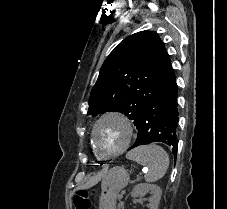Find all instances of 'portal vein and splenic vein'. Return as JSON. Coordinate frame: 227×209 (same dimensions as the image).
Instances as JSON below:
<instances>
[{
	"label": "portal vein and splenic vein",
	"mask_w": 227,
	"mask_h": 209,
	"mask_svg": "<svg viewBox=\"0 0 227 209\" xmlns=\"http://www.w3.org/2000/svg\"><path fill=\"white\" fill-rule=\"evenodd\" d=\"M121 192H122L123 194H126V193H127V190H126V189H123ZM122 193H120V194L118 195L120 198H122V197L124 196Z\"/></svg>",
	"instance_id": "portal-vein-and-splenic-vein-1"
}]
</instances>
